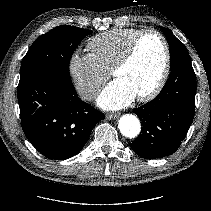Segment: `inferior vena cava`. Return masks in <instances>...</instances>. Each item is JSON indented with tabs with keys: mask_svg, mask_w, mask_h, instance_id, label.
Masks as SVG:
<instances>
[{
	"mask_svg": "<svg viewBox=\"0 0 211 211\" xmlns=\"http://www.w3.org/2000/svg\"><path fill=\"white\" fill-rule=\"evenodd\" d=\"M95 95V90L88 88L80 92V96L84 100H91Z\"/></svg>",
	"mask_w": 211,
	"mask_h": 211,
	"instance_id": "inferior-vena-cava-1",
	"label": "inferior vena cava"
}]
</instances>
